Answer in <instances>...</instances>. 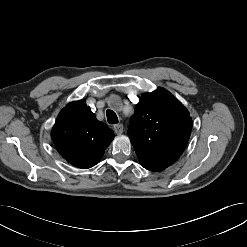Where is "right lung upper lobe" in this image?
I'll use <instances>...</instances> for the list:
<instances>
[{"mask_svg":"<svg viewBox=\"0 0 247 247\" xmlns=\"http://www.w3.org/2000/svg\"><path fill=\"white\" fill-rule=\"evenodd\" d=\"M51 138L64 159L78 168L87 169L100 161L114 133L96 119L85 100H80L62 109Z\"/></svg>","mask_w":247,"mask_h":247,"instance_id":"right-lung-upper-lobe-1","label":"right lung upper lobe"}]
</instances>
